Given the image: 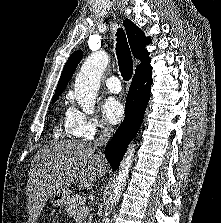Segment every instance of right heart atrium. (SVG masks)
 Wrapping results in <instances>:
<instances>
[{"mask_svg": "<svg viewBox=\"0 0 221 223\" xmlns=\"http://www.w3.org/2000/svg\"><path fill=\"white\" fill-rule=\"evenodd\" d=\"M69 125L75 137L90 140L99 133H106L109 128L98 118L91 117L75 106L68 109Z\"/></svg>", "mask_w": 221, "mask_h": 223, "instance_id": "1", "label": "right heart atrium"}]
</instances>
